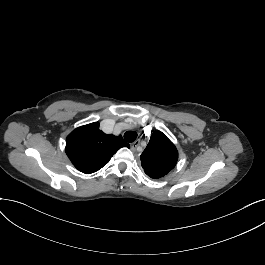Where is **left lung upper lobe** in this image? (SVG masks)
I'll list each match as a JSON object with an SVG mask.
<instances>
[{"instance_id":"obj_1","label":"left lung upper lobe","mask_w":265,"mask_h":265,"mask_svg":"<svg viewBox=\"0 0 265 265\" xmlns=\"http://www.w3.org/2000/svg\"><path fill=\"white\" fill-rule=\"evenodd\" d=\"M144 172L153 179L168 174L176 165L178 152L175 145L160 131H155L140 156Z\"/></svg>"}]
</instances>
